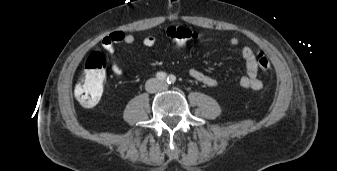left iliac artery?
Segmentation results:
<instances>
[{"mask_svg":"<svg viewBox=\"0 0 337 171\" xmlns=\"http://www.w3.org/2000/svg\"><path fill=\"white\" fill-rule=\"evenodd\" d=\"M176 81V77L174 75H169L167 78V83L168 84H174V82Z\"/></svg>","mask_w":337,"mask_h":171,"instance_id":"obj_1","label":"left iliac artery"}]
</instances>
